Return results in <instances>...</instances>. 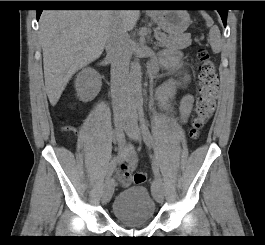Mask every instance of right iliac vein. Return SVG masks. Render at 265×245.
I'll return each mask as SVG.
<instances>
[{"mask_svg": "<svg viewBox=\"0 0 265 245\" xmlns=\"http://www.w3.org/2000/svg\"><path fill=\"white\" fill-rule=\"evenodd\" d=\"M126 126L127 123L123 119L118 118L115 120V128L118 131H123L126 128ZM113 192H114V180L109 178L106 180L103 187L102 200L104 202H108L111 199Z\"/></svg>", "mask_w": 265, "mask_h": 245, "instance_id": "63e3f726", "label": "right iliac vein"}]
</instances>
